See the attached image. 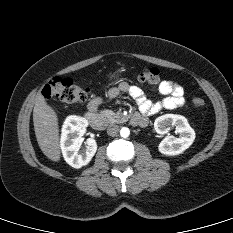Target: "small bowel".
Segmentation results:
<instances>
[{"instance_id":"1","label":"small bowel","mask_w":233,"mask_h":233,"mask_svg":"<svg viewBox=\"0 0 233 233\" xmlns=\"http://www.w3.org/2000/svg\"><path fill=\"white\" fill-rule=\"evenodd\" d=\"M157 91L164 96V98L161 101L152 102L138 86L131 85L127 82H121L117 88H113L109 91V96L115 98L120 92L129 94L139 107L140 114L137 115L144 118L165 109L182 107L185 103V92L183 87L173 81H162L158 85ZM100 104L101 99L95 98L89 103V109L96 111Z\"/></svg>"}]
</instances>
